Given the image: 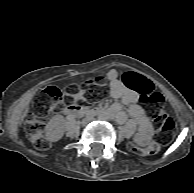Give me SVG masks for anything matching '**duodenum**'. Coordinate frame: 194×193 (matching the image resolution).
Here are the masks:
<instances>
[{
    "mask_svg": "<svg viewBox=\"0 0 194 193\" xmlns=\"http://www.w3.org/2000/svg\"><path fill=\"white\" fill-rule=\"evenodd\" d=\"M63 113L67 115H84V114H95L98 116H105V113L99 110H90L78 105H68L63 109Z\"/></svg>",
    "mask_w": 194,
    "mask_h": 193,
    "instance_id": "1",
    "label": "duodenum"
}]
</instances>
